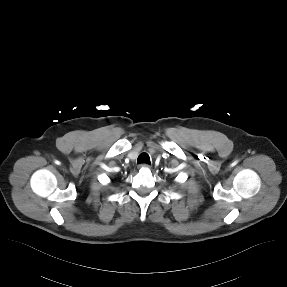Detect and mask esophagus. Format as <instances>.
<instances>
[{"instance_id": "esophagus-1", "label": "esophagus", "mask_w": 287, "mask_h": 287, "mask_svg": "<svg viewBox=\"0 0 287 287\" xmlns=\"http://www.w3.org/2000/svg\"><path fill=\"white\" fill-rule=\"evenodd\" d=\"M150 167H151V165L146 164V163H142V164L138 165V168H150Z\"/></svg>"}]
</instances>
